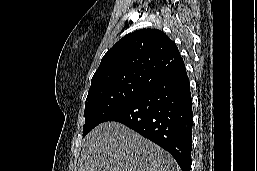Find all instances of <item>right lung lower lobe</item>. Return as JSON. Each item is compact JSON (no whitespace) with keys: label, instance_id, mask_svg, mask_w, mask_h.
<instances>
[{"label":"right lung lower lobe","instance_id":"right-lung-lower-lobe-1","mask_svg":"<svg viewBox=\"0 0 257 171\" xmlns=\"http://www.w3.org/2000/svg\"><path fill=\"white\" fill-rule=\"evenodd\" d=\"M192 117L190 83L183 68L148 86L105 121L128 126L171 153L183 171H190Z\"/></svg>","mask_w":257,"mask_h":171}]
</instances>
